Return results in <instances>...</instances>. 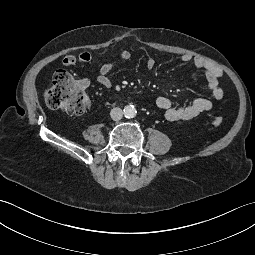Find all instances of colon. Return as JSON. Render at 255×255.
<instances>
[{"label": "colon", "mask_w": 255, "mask_h": 255, "mask_svg": "<svg viewBox=\"0 0 255 255\" xmlns=\"http://www.w3.org/2000/svg\"><path fill=\"white\" fill-rule=\"evenodd\" d=\"M46 105L68 115L80 116L88 108L89 97L82 84L65 70H57L52 85L44 93ZM213 124L220 126L222 118L215 116Z\"/></svg>", "instance_id": "5ec220e1"}]
</instances>
